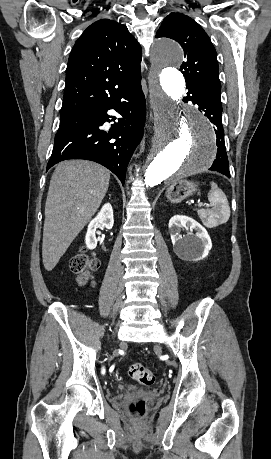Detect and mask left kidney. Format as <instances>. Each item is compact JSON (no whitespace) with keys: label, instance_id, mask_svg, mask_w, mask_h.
Segmentation results:
<instances>
[{"label":"left kidney","instance_id":"5707ae66","mask_svg":"<svg viewBox=\"0 0 271 459\" xmlns=\"http://www.w3.org/2000/svg\"><path fill=\"white\" fill-rule=\"evenodd\" d=\"M182 228L196 229L195 235H185L182 237L180 231ZM169 233L171 235L173 247L175 253L180 255L182 259H189L193 255L200 253L196 259H203L209 253V249L212 247V241L210 235L203 226H200L198 222H195L193 218L188 216H173L169 220Z\"/></svg>","mask_w":271,"mask_h":459}]
</instances>
